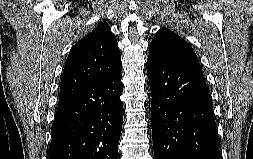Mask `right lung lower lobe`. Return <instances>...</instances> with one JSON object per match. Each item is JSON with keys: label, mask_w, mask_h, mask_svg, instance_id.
Wrapping results in <instances>:
<instances>
[{"label": "right lung lower lobe", "mask_w": 253, "mask_h": 159, "mask_svg": "<svg viewBox=\"0 0 253 159\" xmlns=\"http://www.w3.org/2000/svg\"><path fill=\"white\" fill-rule=\"evenodd\" d=\"M121 69L59 100L49 159H118Z\"/></svg>", "instance_id": "obj_1"}]
</instances>
